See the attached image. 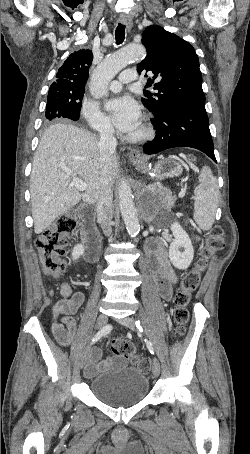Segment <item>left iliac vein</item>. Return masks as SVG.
<instances>
[{
	"mask_svg": "<svg viewBox=\"0 0 250 454\" xmlns=\"http://www.w3.org/2000/svg\"><path fill=\"white\" fill-rule=\"evenodd\" d=\"M119 322L133 331L136 330V323L132 317L119 319ZM152 372L155 377H158L160 374V363L156 357L153 358Z\"/></svg>",
	"mask_w": 250,
	"mask_h": 454,
	"instance_id": "4c4485c4",
	"label": "left iliac vein"
}]
</instances>
